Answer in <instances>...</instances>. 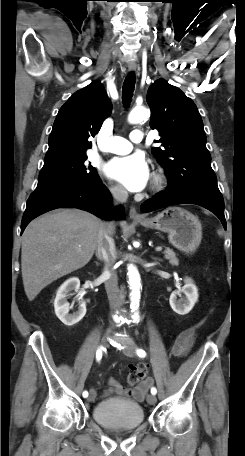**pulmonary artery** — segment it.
Wrapping results in <instances>:
<instances>
[{"instance_id": "1", "label": "pulmonary artery", "mask_w": 245, "mask_h": 456, "mask_svg": "<svg viewBox=\"0 0 245 456\" xmlns=\"http://www.w3.org/2000/svg\"><path fill=\"white\" fill-rule=\"evenodd\" d=\"M143 136L141 130H133L130 133L129 140L119 136H113L108 138L100 149L107 153L126 154L132 150L133 143H140L143 140Z\"/></svg>"}]
</instances>
